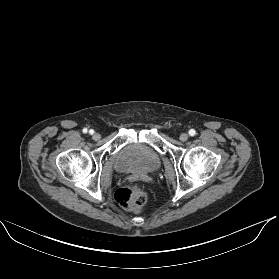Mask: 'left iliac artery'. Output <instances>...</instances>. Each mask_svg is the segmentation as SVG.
<instances>
[{"label": "left iliac artery", "instance_id": "44dca946", "mask_svg": "<svg viewBox=\"0 0 279 279\" xmlns=\"http://www.w3.org/2000/svg\"><path fill=\"white\" fill-rule=\"evenodd\" d=\"M196 134V131L194 129L189 130V135L194 136Z\"/></svg>", "mask_w": 279, "mask_h": 279}]
</instances>
